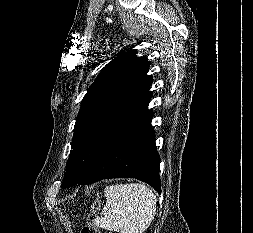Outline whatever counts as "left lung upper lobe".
I'll use <instances>...</instances> for the list:
<instances>
[{
    "label": "left lung upper lobe",
    "mask_w": 253,
    "mask_h": 233,
    "mask_svg": "<svg viewBox=\"0 0 253 233\" xmlns=\"http://www.w3.org/2000/svg\"><path fill=\"white\" fill-rule=\"evenodd\" d=\"M150 62L136 50L121 52L100 72L84 96L74 127L71 152L62 183L68 188L90 170L117 125L148 92Z\"/></svg>",
    "instance_id": "1"
}]
</instances>
